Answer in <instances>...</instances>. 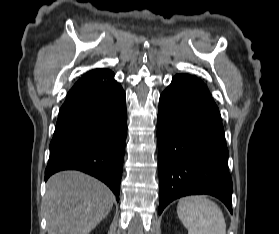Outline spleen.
Returning a JSON list of instances; mask_svg holds the SVG:
<instances>
[{
	"instance_id": "1",
	"label": "spleen",
	"mask_w": 279,
	"mask_h": 234,
	"mask_svg": "<svg viewBox=\"0 0 279 234\" xmlns=\"http://www.w3.org/2000/svg\"><path fill=\"white\" fill-rule=\"evenodd\" d=\"M177 213L188 234H226L225 218L220 207L205 196L181 199Z\"/></svg>"
}]
</instances>
